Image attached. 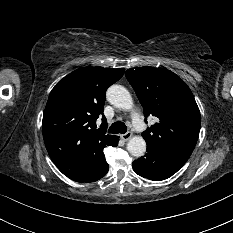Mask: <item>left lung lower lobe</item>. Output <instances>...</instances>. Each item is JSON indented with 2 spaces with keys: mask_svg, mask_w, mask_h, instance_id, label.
<instances>
[{
  "mask_svg": "<svg viewBox=\"0 0 233 233\" xmlns=\"http://www.w3.org/2000/svg\"><path fill=\"white\" fill-rule=\"evenodd\" d=\"M184 152L147 145L144 157L132 163L134 171L147 179L161 181L175 174L188 160Z\"/></svg>",
  "mask_w": 233,
  "mask_h": 233,
  "instance_id": "obj_1",
  "label": "left lung lower lobe"
}]
</instances>
